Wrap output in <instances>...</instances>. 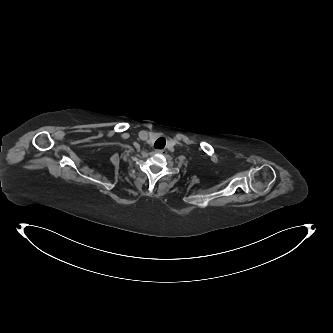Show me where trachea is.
Wrapping results in <instances>:
<instances>
[{"instance_id":"trachea-1","label":"trachea","mask_w":333,"mask_h":333,"mask_svg":"<svg viewBox=\"0 0 333 333\" xmlns=\"http://www.w3.org/2000/svg\"><path fill=\"white\" fill-rule=\"evenodd\" d=\"M166 145V140L164 138H159L154 143V147L158 149H163Z\"/></svg>"}]
</instances>
